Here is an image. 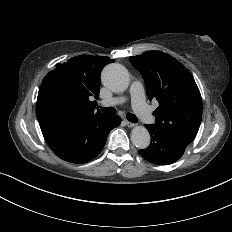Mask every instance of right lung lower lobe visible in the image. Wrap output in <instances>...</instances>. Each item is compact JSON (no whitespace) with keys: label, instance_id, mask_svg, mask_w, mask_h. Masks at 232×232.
I'll return each mask as SVG.
<instances>
[{"label":"right lung lower lobe","instance_id":"right-lung-lower-lobe-1","mask_svg":"<svg viewBox=\"0 0 232 232\" xmlns=\"http://www.w3.org/2000/svg\"><path fill=\"white\" fill-rule=\"evenodd\" d=\"M120 123V116L104 114L39 122L53 152L77 164L94 159L102 151L109 132Z\"/></svg>","mask_w":232,"mask_h":232}]
</instances>
